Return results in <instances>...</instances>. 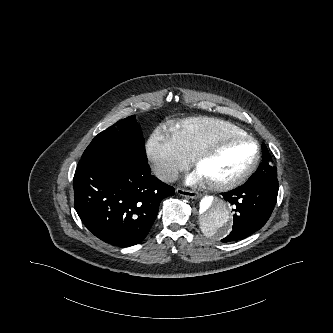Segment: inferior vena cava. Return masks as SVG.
<instances>
[{
	"mask_svg": "<svg viewBox=\"0 0 333 333\" xmlns=\"http://www.w3.org/2000/svg\"><path fill=\"white\" fill-rule=\"evenodd\" d=\"M155 175L163 181L174 182L178 178V171L168 167H161L155 170Z\"/></svg>",
	"mask_w": 333,
	"mask_h": 333,
	"instance_id": "602c4592",
	"label": "inferior vena cava"
}]
</instances>
